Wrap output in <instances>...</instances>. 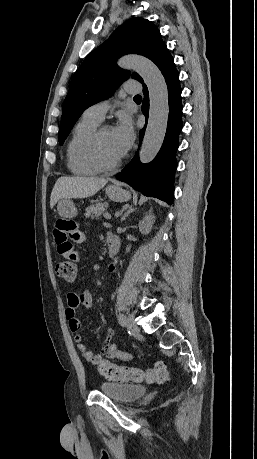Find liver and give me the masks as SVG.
Returning a JSON list of instances; mask_svg holds the SVG:
<instances>
[{
    "label": "liver",
    "mask_w": 257,
    "mask_h": 459,
    "mask_svg": "<svg viewBox=\"0 0 257 459\" xmlns=\"http://www.w3.org/2000/svg\"><path fill=\"white\" fill-rule=\"evenodd\" d=\"M107 182V179L96 177H60L53 187L50 207L53 208L60 199H80L93 196Z\"/></svg>",
    "instance_id": "liver-1"
}]
</instances>
